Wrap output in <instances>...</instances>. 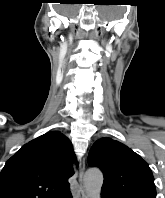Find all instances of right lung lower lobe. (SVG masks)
<instances>
[{"mask_svg":"<svg viewBox=\"0 0 165 198\" xmlns=\"http://www.w3.org/2000/svg\"><path fill=\"white\" fill-rule=\"evenodd\" d=\"M67 198H72L71 194H69V195L67 196Z\"/></svg>","mask_w":165,"mask_h":198,"instance_id":"98d812e1","label":"right lung lower lobe"}]
</instances>
